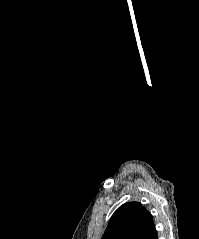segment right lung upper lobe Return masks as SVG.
Here are the masks:
<instances>
[{"mask_svg": "<svg viewBox=\"0 0 199 239\" xmlns=\"http://www.w3.org/2000/svg\"><path fill=\"white\" fill-rule=\"evenodd\" d=\"M153 228L152 215L139 202H128L114 212L101 239H143Z\"/></svg>", "mask_w": 199, "mask_h": 239, "instance_id": "right-lung-upper-lobe-1", "label": "right lung upper lobe"}]
</instances>
